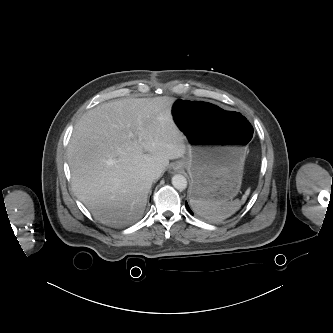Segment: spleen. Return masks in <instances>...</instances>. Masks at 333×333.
<instances>
[{"label":"spleen","mask_w":333,"mask_h":333,"mask_svg":"<svg viewBox=\"0 0 333 333\" xmlns=\"http://www.w3.org/2000/svg\"><path fill=\"white\" fill-rule=\"evenodd\" d=\"M249 192L250 191L247 190L241 200L236 199L234 201H205L191 198L190 205L193 211L198 215L213 222H219L239 210L241 205L245 203Z\"/></svg>","instance_id":"spleen-1"}]
</instances>
